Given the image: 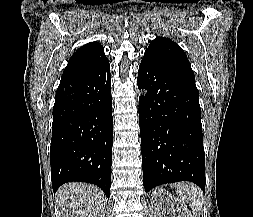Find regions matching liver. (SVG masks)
Instances as JSON below:
<instances>
[{"label":"liver","mask_w":253,"mask_h":217,"mask_svg":"<svg viewBox=\"0 0 253 217\" xmlns=\"http://www.w3.org/2000/svg\"><path fill=\"white\" fill-rule=\"evenodd\" d=\"M57 204L62 217H104L106 197L96 186L68 183L57 193Z\"/></svg>","instance_id":"obj_1"}]
</instances>
